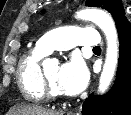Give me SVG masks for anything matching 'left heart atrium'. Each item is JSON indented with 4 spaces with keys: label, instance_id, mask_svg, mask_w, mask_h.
I'll list each match as a JSON object with an SVG mask.
<instances>
[{
    "label": "left heart atrium",
    "instance_id": "obj_1",
    "mask_svg": "<svg viewBox=\"0 0 131 115\" xmlns=\"http://www.w3.org/2000/svg\"><path fill=\"white\" fill-rule=\"evenodd\" d=\"M88 81L86 67L79 59H72L59 69L56 86L65 95L81 92Z\"/></svg>",
    "mask_w": 131,
    "mask_h": 115
}]
</instances>
